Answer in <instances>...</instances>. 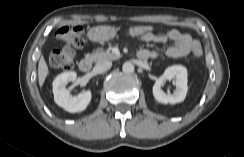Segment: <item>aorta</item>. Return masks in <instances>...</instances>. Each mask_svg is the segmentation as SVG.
<instances>
[{
    "instance_id": "1",
    "label": "aorta",
    "mask_w": 244,
    "mask_h": 157,
    "mask_svg": "<svg viewBox=\"0 0 244 157\" xmlns=\"http://www.w3.org/2000/svg\"><path fill=\"white\" fill-rule=\"evenodd\" d=\"M134 65L131 62H125L122 66L124 73L131 74L134 72Z\"/></svg>"
}]
</instances>
